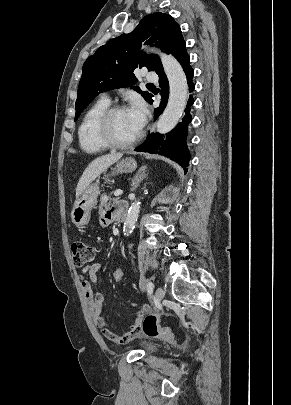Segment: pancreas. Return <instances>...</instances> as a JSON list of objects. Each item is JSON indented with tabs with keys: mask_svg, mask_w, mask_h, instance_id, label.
Returning <instances> with one entry per match:
<instances>
[{
	"mask_svg": "<svg viewBox=\"0 0 291 405\" xmlns=\"http://www.w3.org/2000/svg\"><path fill=\"white\" fill-rule=\"evenodd\" d=\"M116 199H112L111 197H107L105 194L101 196L100 200V205H99V214H101L104 209H107L112 201H115Z\"/></svg>",
	"mask_w": 291,
	"mask_h": 405,
	"instance_id": "obj_1",
	"label": "pancreas"
}]
</instances>
